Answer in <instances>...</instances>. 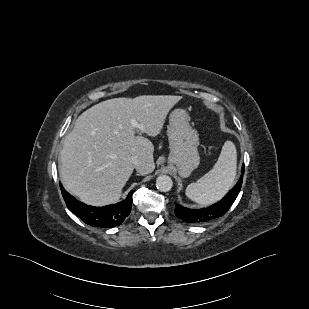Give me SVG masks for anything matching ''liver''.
I'll return each mask as SVG.
<instances>
[{
    "mask_svg": "<svg viewBox=\"0 0 309 309\" xmlns=\"http://www.w3.org/2000/svg\"><path fill=\"white\" fill-rule=\"evenodd\" d=\"M181 99L173 95L114 98L84 111L63 141L59 170L65 189L88 205L117 202L133 173L132 157L141 161L140 174L155 169L154 146L149 139L135 136L136 130L157 136ZM132 120L141 128H135Z\"/></svg>",
    "mask_w": 309,
    "mask_h": 309,
    "instance_id": "1",
    "label": "liver"
}]
</instances>
